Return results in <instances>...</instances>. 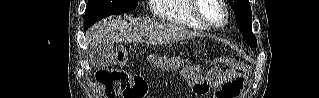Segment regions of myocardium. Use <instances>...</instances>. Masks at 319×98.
Wrapping results in <instances>:
<instances>
[{
	"label": "myocardium",
	"instance_id": "obj_1",
	"mask_svg": "<svg viewBox=\"0 0 319 98\" xmlns=\"http://www.w3.org/2000/svg\"><path fill=\"white\" fill-rule=\"evenodd\" d=\"M193 1V5H192V12L193 15L195 17V19L202 24L205 28L207 29H220L222 27H224L229 19V11L228 8L226 6V3L223 0H216L218 2V4L223 8L224 10V19L220 24H212L210 23L200 12V6H201V2L203 0H192Z\"/></svg>",
	"mask_w": 319,
	"mask_h": 98
}]
</instances>
